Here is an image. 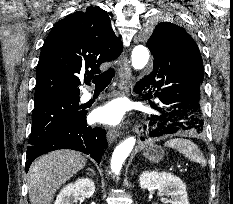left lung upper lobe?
Returning a JSON list of instances; mask_svg holds the SVG:
<instances>
[{
	"mask_svg": "<svg viewBox=\"0 0 233 204\" xmlns=\"http://www.w3.org/2000/svg\"><path fill=\"white\" fill-rule=\"evenodd\" d=\"M150 35L147 47L153 58L162 52L178 51L193 66L200 81L203 82L204 68L199 48L184 28L168 21L153 24L148 31Z\"/></svg>",
	"mask_w": 233,
	"mask_h": 204,
	"instance_id": "5c2ea615",
	"label": "left lung upper lobe"
}]
</instances>
